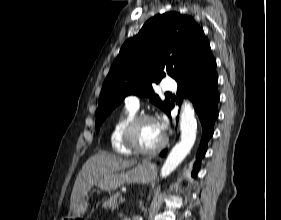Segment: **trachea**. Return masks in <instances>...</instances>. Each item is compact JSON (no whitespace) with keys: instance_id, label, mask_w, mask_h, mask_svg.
Instances as JSON below:
<instances>
[{"instance_id":"3493384b","label":"trachea","mask_w":281,"mask_h":220,"mask_svg":"<svg viewBox=\"0 0 281 220\" xmlns=\"http://www.w3.org/2000/svg\"><path fill=\"white\" fill-rule=\"evenodd\" d=\"M166 95H171V93H166Z\"/></svg>"}]
</instances>
